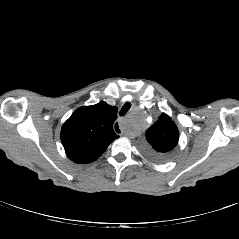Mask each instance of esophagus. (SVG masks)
I'll list each match as a JSON object with an SVG mask.
<instances>
[{"instance_id": "1", "label": "esophagus", "mask_w": 239, "mask_h": 239, "mask_svg": "<svg viewBox=\"0 0 239 239\" xmlns=\"http://www.w3.org/2000/svg\"><path fill=\"white\" fill-rule=\"evenodd\" d=\"M113 129H114V131L118 134V136L119 137H122L123 136V133H122V128H120V125H119V123H114V125H113Z\"/></svg>"}]
</instances>
